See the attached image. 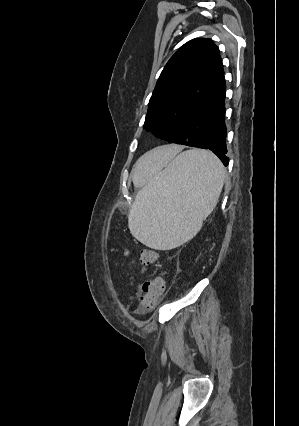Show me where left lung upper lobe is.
Returning a JSON list of instances; mask_svg holds the SVG:
<instances>
[{"mask_svg":"<svg viewBox=\"0 0 299 426\" xmlns=\"http://www.w3.org/2000/svg\"><path fill=\"white\" fill-rule=\"evenodd\" d=\"M224 82L222 60L213 41L205 38L188 41L162 70L143 128L171 142L194 111Z\"/></svg>","mask_w":299,"mask_h":426,"instance_id":"left-lung-upper-lobe-1","label":"left lung upper lobe"}]
</instances>
